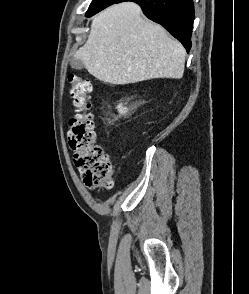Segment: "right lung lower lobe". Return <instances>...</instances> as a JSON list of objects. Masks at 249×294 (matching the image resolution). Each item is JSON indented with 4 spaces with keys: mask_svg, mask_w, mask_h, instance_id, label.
<instances>
[{
    "mask_svg": "<svg viewBox=\"0 0 249 294\" xmlns=\"http://www.w3.org/2000/svg\"><path fill=\"white\" fill-rule=\"evenodd\" d=\"M124 1L139 4L149 19L161 24L189 52L194 21L192 0H118L116 3Z\"/></svg>",
    "mask_w": 249,
    "mask_h": 294,
    "instance_id": "1",
    "label": "right lung lower lobe"
}]
</instances>
